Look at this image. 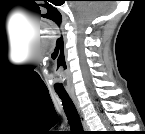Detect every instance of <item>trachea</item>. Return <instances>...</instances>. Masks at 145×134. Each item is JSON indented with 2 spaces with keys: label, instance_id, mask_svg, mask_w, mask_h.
<instances>
[{
  "label": "trachea",
  "instance_id": "1",
  "mask_svg": "<svg viewBox=\"0 0 145 134\" xmlns=\"http://www.w3.org/2000/svg\"><path fill=\"white\" fill-rule=\"evenodd\" d=\"M59 97L62 100L63 109L67 116L71 130L74 132H85L83 131V127L78 112L70 97L68 95H60V94Z\"/></svg>",
  "mask_w": 145,
  "mask_h": 134
}]
</instances>
